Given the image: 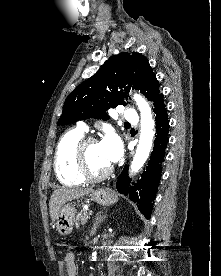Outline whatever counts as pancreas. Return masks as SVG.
<instances>
[{
  "mask_svg": "<svg viewBox=\"0 0 221 276\" xmlns=\"http://www.w3.org/2000/svg\"><path fill=\"white\" fill-rule=\"evenodd\" d=\"M89 219V213L87 210L83 209L76 217V228H79L80 225H84Z\"/></svg>",
  "mask_w": 221,
  "mask_h": 276,
  "instance_id": "pancreas-1",
  "label": "pancreas"
}]
</instances>
